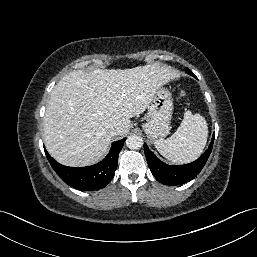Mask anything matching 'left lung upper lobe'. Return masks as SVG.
<instances>
[{
	"label": "left lung upper lobe",
	"mask_w": 257,
	"mask_h": 257,
	"mask_svg": "<svg viewBox=\"0 0 257 257\" xmlns=\"http://www.w3.org/2000/svg\"><path fill=\"white\" fill-rule=\"evenodd\" d=\"M186 72L190 75H194L188 68H186Z\"/></svg>",
	"instance_id": "obj_1"
}]
</instances>
